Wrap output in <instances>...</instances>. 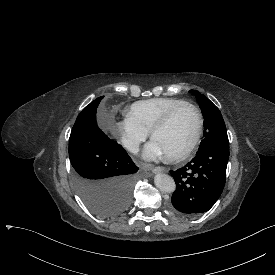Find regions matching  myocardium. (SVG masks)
Masks as SVG:
<instances>
[{
    "label": "myocardium",
    "instance_id": "myocardium-1",
    "mask_svg": "<svg viewBox=\"0 0 275 275\" xmlns=\"http://www.w3.org/2000/svg\"><path fill=\"white\" fill-rule=\"evenodd\" d=\"M184 108H189L194 113V116H195L194 134L191 140L188 142V144L184 148H182L181 150H179L177 153L173 155L167 156V158L170 161H178L187 157L199 142V139L202 133V118L198 108L195 105L188 102L177 105L173 107L170 111H168L165 114V116L158 123H156L150 131V138L153 140V137L155 136V134L158 133L159 131L166 129L171 123L175 114Z\"/></svg>",
    "mask_w": 275,
    "mask_h": 275
}]
</instances>
